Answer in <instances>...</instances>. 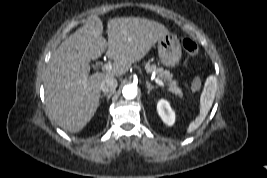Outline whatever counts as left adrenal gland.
Instances as JSON below:
<instances>
[{"mask_svg": "<svg viewBox=\"0 0 267 178\" xmlns=\"http://www.w3.org/2000/svg\"><path fill=\"white\" fill-rule=\"evenodd\" d=\"M147 89H148V94H150L151 90L154 88V86L150 85L148 81H146Z\"/></svg>", "mask_w": 267, "mask_h": 178, "instance_id": "1", "label": "left adrenal gland"}]
</instances>
